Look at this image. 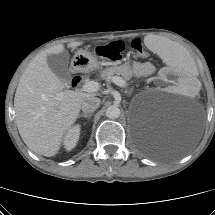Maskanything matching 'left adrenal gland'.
Listing matches in <instances>:
<instances>
[{
    "label": "left adrenal gland",
    "mask_w": 215,
    "mask_h": 215,
    "mask_svg": "<svg viewBox=\"0 0 215 215\" xmlns=\"http://www.w3.org/2000/svg\"><path fill=\"white\" fill-rule=\"evenodd\" d=\"M128 93H129V96H130V95H131V93H132V90H131V91H129Z\"/></svg>",
    "instance_id": "1"
}]
</instances>
